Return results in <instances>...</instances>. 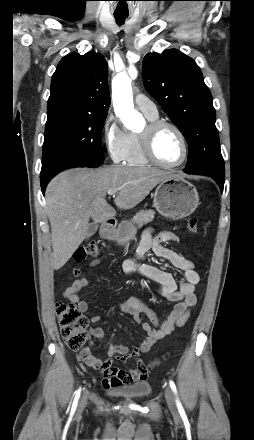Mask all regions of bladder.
<instances>
[{
	"label": "bladder",
	"mask_w": 254,
	"mask_h": 440,
	"mask_svg": "<svg viewBox=\"0 0 254 440\" xmlns=\"http://www.w3.org/2000/svg\"><path fill=\"white\" fill-rule=\"evenodd\" d=\"M151 392V385L148 382H140L135 385L112 391V394L123 399H143Z\"/></svg>",
	"instance_id": "1"
}]
</instances>
